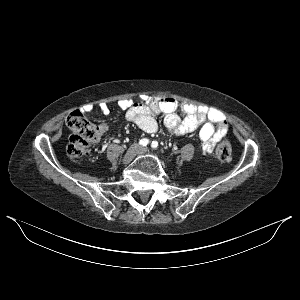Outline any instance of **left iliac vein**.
I'll return each mask as SVG.
<instances>
[{"instance_id": "obj_1", "label": "left iliac vein", "mask_w": 300, "mask_h": 300, "mask_svg": "<svg viewBox=\"0 0 300 300\" xmlns=\"http://www.w3.org/2000/svg\"><path fill=\"white\" fill-rule=\"evenodd\" d=\"M139 153L140 154H146L147 153V148H141Z\"/></svg>"}]
</instances>
